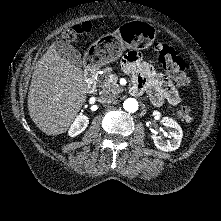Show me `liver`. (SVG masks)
<instances>
[{
	"label": "liver",
	"instance_id": "liver-1",
	"mask_svg": "<svg viewBox=\"0 0 221 221\" xmlns=\"http://www.w3.org/2000/svg\"><path fill=\"white\" fill-rule=\"evenodd\" d=\"M83 70L62 58L52 44L37 62L28 93L32 121L47 135L66 132L86 102Z\"/></svg>",
	"mask_w": 221,
	"mask_h": 221
}]
</instances>
